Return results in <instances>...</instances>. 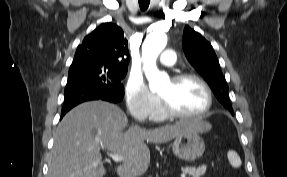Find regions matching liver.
Here are the masks:
<instances>
[{
	"instance_id": "6515ba94",
	"label": "liver",
	"mask_w": 287,
	"mask_h": 177,
	"mask_svg": "<svg viewBox=\"0 0 287 177\" xmlns=\"http://www.w3.org/2000/svg\"><path fill=\"white\" fill-rule=\"evenodd\" d=\"M127 122L125 113L108 102L91 101L73 108L54 133L48 177H103L106 170L100 149L123 156V163L116 168L120 177L129 172L137 177L150 164L145 141L166 143L186 132L211 129L210 124L194 119L149 130L131 126L123 133Z\"/></svg>"
}]
</instances>
